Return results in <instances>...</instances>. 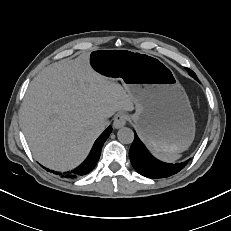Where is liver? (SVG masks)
I'll list each match as a JSON object with an SVG mask.
<instances>
[{
  "instance_id": "6515ba94",
  "label": "liver",
  "mask_w": 231,
  "mask_h": 231,
  "mask_svg": "<svg viewBox=\"0 0 231 231\" xmlns=\"http://www.w3.org/2000/svg\"><path fill=\"white\" fill-rule=\"evenodd\" d=\"M89 53L53 63L30 83L21 128L38 162L56 170L77 167L117 111H133L132 96L115 80L95 72Z\"/></svg>"
}]
</instances>
